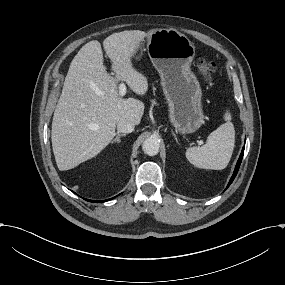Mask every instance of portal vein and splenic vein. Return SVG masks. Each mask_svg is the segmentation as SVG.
<instances>
[{"label":"portal vein and splenic vein","mask_w":285,"mask_h":285,"mask_svg":"<svg viewBox=\"0 0 285 285\" xmlns=\"http://www.w3.org/2000/svg\"><path fill=\"white\" fill-rule=\"evenodd\" d=\"M126 94V85L124 83L119 84V95L124 96Z\"/></svg>","instance_id":"obj_1"}]
</instances>
